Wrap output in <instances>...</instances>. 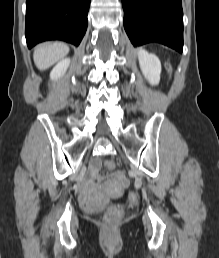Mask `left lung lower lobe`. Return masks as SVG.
<instances>
[{"instance_id":"left-lung-lower-lobe-1","label":"left lung lower lobe","mask_w":219,"mask_h":258,"mask_svg":"<svg viewBox=\"0 0 219 258\" xmlns=\"http://www.w3.org/2000/svg\"><path fill=\"white\" fill-rule=\"evenodd\" d=\"M124 28L134 46L158 42L183 51L181 0H122Z\"/></svg>"}]
</instances>
